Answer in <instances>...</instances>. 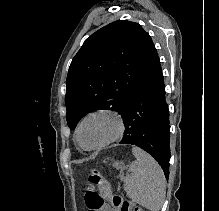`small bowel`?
I'll list each match as a JSON object with an SVG mask.
<instances>
[{
	"label": "small bowel",
	"mask_w": 219,
	"mask_h": 211,
	"mask_svg": "<svg viewBox=\"0 0 219 211\" xmlns=\"http://www.w3.org/2000/svg\"><path fill=\"white\" fill-rule=\"evenodd\" d=\"M85 202L89 211H113L103 198L94 190H88Z\"/></svg>",
	"instance_id": "obj_1"
}]
</instances>
